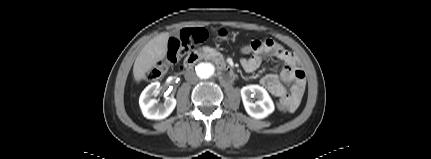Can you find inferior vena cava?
<instances>
[{
	"label": "inferior vena cava",
	"instance_id": "602c4592",
	"mask_svg": "<svg viewBox=\"0 0 431 159\" xmlns=\"http://www.w3.org/2000/svg\"><path fill=\"white\" fill-rule=\"evenodd\" d=\"M185 79L192 84L198 82V77L193 71L186 72Z\"/></svg>",
	"mask_w": 431,
	"mask_h": 159
}]
</instances>
